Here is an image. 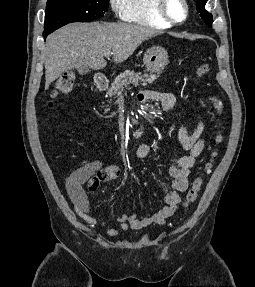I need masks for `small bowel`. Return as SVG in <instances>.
I'll use <instances>...</instances> for the list:
<instances>
[{
    "label": "small bowel",
    "mask_w": 255,
    "mask_h": 287,
    "mask_svg": "<svg viewBox=\"0 0 255 287\" xmlns=\"http://www.w3.org/2000/svg\"><path fill=\"white\" fill-rule=\"evenodd\" d=\"M151 99L159 102L165 110H170L175 106L176 99L172 94L152 92L147 94ZM203 124L197 122L189 130L186 126L179 129L178 138L181 145L188 150V154L178 158L170 166L169 174L172 177L171 190L165 196L164 206L156 213L145 218H138L135 214H122L117 218V226L109 227L107 234L117 237L125 233L128 229L139 230L151 224H163L178 209L181 202V195L187 190L189 185V175L194 166L196 158L204 148L202 138ZM152 153V146L147 143L140 144L135 149L137 159H145ZM120 169L117 166H104L100 161H92L75 170L66 181V189L73 202L76 214L91 226L97 225V220L91 215L90 205L84 189L88 184L91 191L96 190L101 183L112 181L118 178ZM104 226L107 222L102 221Z\"/></svg>",
    "instance_id": "c3829d8e"
}]
</instances>
